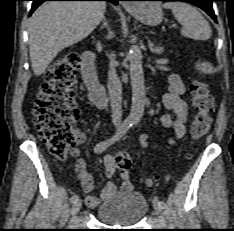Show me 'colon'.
Wrapping results in <instances>:
<instances>
[{"label": "colon", "instance_id": "1", "mask_svg": "<svg viewBox=\"0 0 234 231\" xmlns=\"http://www.w3.org/2000/svg\"><path fill=\"white\" fill-rule=\"evenodd\" d=\"M80 63V54L76 51L68 52L55 61L44 74L33 108L38 134L58 158H64L75 142L72 128L80 117L75 102ZM190 93L195 110L190 134L193 139H199L210 129L214 102L204 81L194 80L190 85ZM115 164L121 175L127 176L132 167L130 155L125 151L119 152L115 156ZM152 182L151 178L144 179L147 185Z\"/></svg>", "mask_w": 234, "mask_h": 231}]
</instances>
